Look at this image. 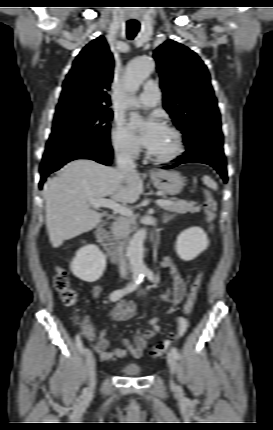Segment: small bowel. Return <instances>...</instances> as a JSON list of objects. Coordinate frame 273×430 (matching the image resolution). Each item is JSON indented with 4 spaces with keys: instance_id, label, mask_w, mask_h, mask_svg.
<instances>
[{
    "instance_id": "small-bowel-1",
    "label": "small bowel",
    "mask_w": 273,
    "mask_h": 430,
    "mask_svg": "<svg viewBox=\"0 0 273 430\" xmlns=\"http://www.w3.org/2000/svg\"><path fill=\"white\" fill-rule=\"evenodd\" d=\"M158 265L168 269L169 272V287L167 291L159 297V300L171 305L168 313L172 314L175 311L174 307L184 298L185 284L171 257L165 256L158 261ZM101 292L102 285L98 284L94 286L93 294L95 297H99ZM136 311L137 307L134 303L120 300L110 311V316L115 321H125L132 318L136 314ZM178 322L183 325L185 324V320L182 317L178 318ZM148 324L150 326L149 328H138L136 330L132 341L128 338H121L120 341L124 348L113 347L106 336V332L102 331L96 342V351L99 357L104 361L113 359L114 357L124 358L129 356L135 359L140 358L147 348L149 340L161 331V326L159 325V319L157 317L149 319Z\"/></svg>"
}]
</instances>
